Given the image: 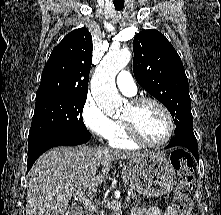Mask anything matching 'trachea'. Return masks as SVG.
I'll return each mask as SVG.
<instances>
[{
	"label": "trachea",
	"instance_id": "obj_1",
	"mask_svg": "<svg viewBox=\"0 0 221 215\" xmlns=\"http://www.w3.org/2000/svg\"><path fill=\"white\" fill-rule=\"evenodd\" d=\"M115 9L117 11L121 10L124 7V3L120 4V3H114Z\"/></svg>",
	"mask_w": 221,
	"mask_h": 215
}]
</instances>
